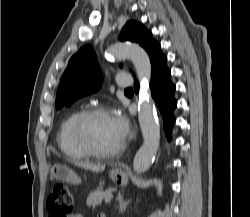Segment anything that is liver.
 <instances>
[{
	"instance_id": "liver-1",
	"label": "liver",
	"mask_w": 250,
	"mask_h": 217,
	"mask_svg": "<svg viewBox=\"0 0 250 217\" xmlns=\"http://www.w3.org/2000/svg\"><path fill=\"white\" fill-rule=\"evenodd\" d=\"M74 164L81 168L91 170L93 172H101L105 169L104 165H94L86 162H74Z\"/></svg>"
}]
</instances>
